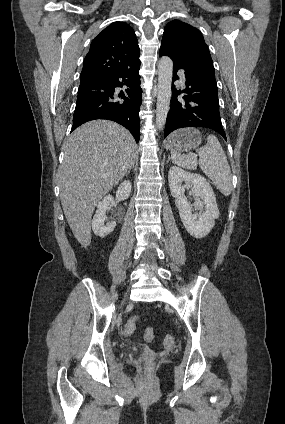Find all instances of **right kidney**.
<instances>
[{
    "mask_svg": "<svg viewBox=\"0 0 285 424\" xmlns=\"http://www.w3.org/2000/svg\"><path fill=\"white\" fill-rule=\"evenodd\" d=\"M131 182L125 180L122 182L116 192V197L120 200H125L130 196L131 193ZM114 202V198L111 195L105 196L101 201L98 202L97 211L92 220V229L95 235L104 238L110 234L116 227V221H111L105 225L107 220L106 210Z\"/></svg>",
    "mask_w": 285,
    "mask_h": 424,
    "instance_id": "right-kidney-1",
    "label": "right kidney"
}]
</instances>
